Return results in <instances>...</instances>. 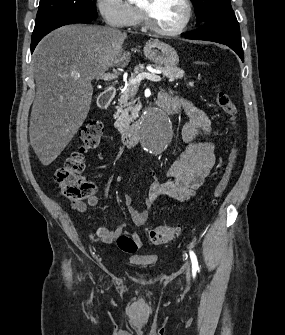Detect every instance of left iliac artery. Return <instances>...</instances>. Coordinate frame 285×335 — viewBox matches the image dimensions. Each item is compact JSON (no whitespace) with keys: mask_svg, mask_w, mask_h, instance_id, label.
I'll return each instance as SVG.
<instances>
[{"mask_svg":"<svg viewBox=\"0 0 285 335\" xmlns=\"http://www.w3.org/2000/svg\"><path fill=\"white\" fill-rule=\"evenodd\" d=\"M190 258L192 262V273H193V276H195L196 272L197 271L199 272V266H198L197 257L193 251H190Z\"/></svg>","mask_w":285,"mask_h":335,"instance_id":"left-iliac-artery-1","label":"left iliac artery"}]
</instances>
